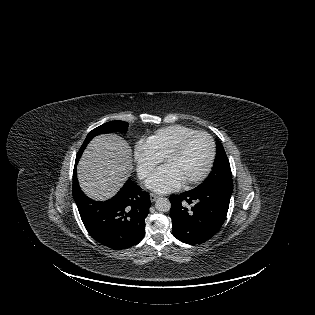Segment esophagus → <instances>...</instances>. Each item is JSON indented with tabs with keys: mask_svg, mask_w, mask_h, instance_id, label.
Masks as SVG:
<instances>
[{
	"mask_svg": "<svg viewBox=\"0 0 315 315\" xmlns=\"http://www.w3.org/2000/svg\"><path fill=\"white\" fill-rule=\"evenodd\" d=\"M159 197H160V196L157 195V194H155V193H151V194H150V200H151L152 202L156 201Z\"/></svg>",
	"mask_w": 315,
	"mask_h": 315,
	"instance_id": "obj_1",
	"label": "esophagus"
}]
</instances>
